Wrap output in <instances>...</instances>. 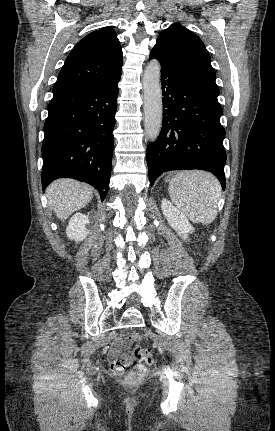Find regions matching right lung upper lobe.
I'll return each mask as SVG.
<instances>
[{"label": "right lung upper lobe", "mask_w": 275, "mask_h": 431, "mask_svg": "<svg viewBox=\"0 0 275 431\" xmlns=\"http://www.w3.org/2000/svg\"><path fill=\"white\" fill-rule=\"evenodd\" d=\"M122 49L115 31L105 27L80 40L68 55L53 95L104 85L121 74Z\"/></svg>", "instance_id": "right-lung-upper-lobe-1"}]
</instances>
